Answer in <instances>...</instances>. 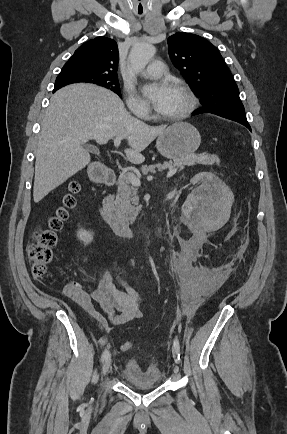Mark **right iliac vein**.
<instances>
[{
    "mask_svg": "<svg viewBox=\"0 0 287 434\" xmlns=\"http://www.w3.org/2000/svg\"><path fill=\"white\" fill-rule=\"evenodd\" d=\"M111 362H112V359H111V356L109 355L104 360L103 365H102V371H101V376L102 377L105 376L109 372V370L111 368Z\"/></svg>",
    "mask_w": 287,
    "mask_h": 434,
    "instance_id": "right-iliac-vein-1",
    "label": "right iliac vein"
}]
</instances>
